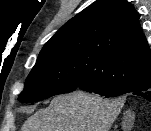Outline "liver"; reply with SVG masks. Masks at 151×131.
I'll list each match as a JSON object with an SVG mask.
<instances>
[{"mask_svg":"<svg viewBox=\"0 0 151 131\" xmlns=\"http://www.w3.org/2000/svg\"><path fill=\"white\" fill-rule=\"evenodd\" d=\"M121 108L119 100L77 91L55 97L30 116L21 131H109Z\"/></svg>","mask_w":151,"mask_h":131,"instance_id":"1","label":"liver"}]
</instances>
